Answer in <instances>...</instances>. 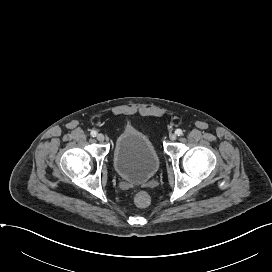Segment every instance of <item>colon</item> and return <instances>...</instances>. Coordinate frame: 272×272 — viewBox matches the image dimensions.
<instances>
[{
  "mask_svg": "<svg viewBox=\"0 0 272 272\" xmlns=\"http://www.w3.org/2000/svg\"><path fill=\"white\" fill-rule=\"evenodd\" d=\"M134 203L139 207H146L150 204V197L146 192L140 191L135 194Z\"/></svg>",
  "mask_w": 272,
  "mask_h": 272,
  "instance_id": "colon-1",
  "label": "colon"
}]
</instances>
